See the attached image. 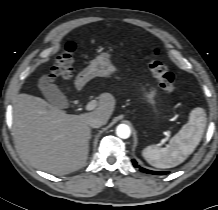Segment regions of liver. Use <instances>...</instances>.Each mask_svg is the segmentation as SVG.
<instances>
[{"mask_svg":"<svg viewBox=\"0 0 218 210\" xmlns=\"http://www.w3.org/2000/svg\"><path fill=\"white\" fill-rule=\"evenodd\" d=\"M115 108L109 93L99 97V105L89 113L69 115L45 100L19 94L13 105V130L28 161L36 168L65 175L83 167L88 159L90 118L108 121Z\"/></svg>","mask_w":218,"mask_h":210,"instance_id":"1","label":"liver"}]
</instances>
